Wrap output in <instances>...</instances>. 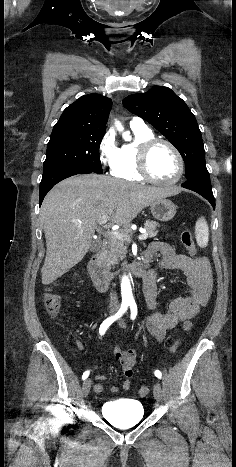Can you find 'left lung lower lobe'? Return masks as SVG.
Here are the masks:
<instances>
[{"label": "left lung lower lobe", "instance_id": "obj_1", "mask_svg": "<svg viewBox=\"0 0 236 467\" xmlns=\"http://www.w3.org/2000/svg\"><path fill=\"white\" fill-rule=\"evenodd\" d=\"M181 186L186 189L195 191L206 198L215 209V199L212 192L209 173L199 174L189 178Z\"/></svg>", "mask_w": 236, "mask_h": 467}]
</instances>
